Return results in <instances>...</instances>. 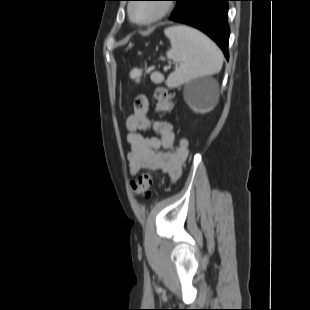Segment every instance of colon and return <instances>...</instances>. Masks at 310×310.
Here are the masks:
<instances>
[{
  "mask_svg": "<svg viewBox=\"0 0 310 310\" xmlns=\"http://www.w3.org/2000/svg\"><path fill=\"white\" fill-rule=\"evenodd\" d=\"M152 80L155 83L162 81V76L159 73L152 75ZM155 109L157 111H169L173 107L174 93L171 89L159 86L154 92ZM153 184V177L149 172L142 173L137 179L131 182V189L137 196H144L148 193Z\"/></svg>",
  "mask_w": 310,
  "mask_h": 310,
  "instance_id": "obj_1",
  "label": "colon"
}]
</instances>
